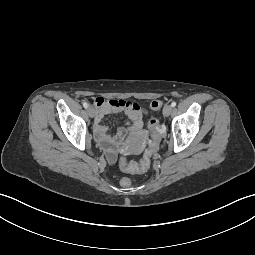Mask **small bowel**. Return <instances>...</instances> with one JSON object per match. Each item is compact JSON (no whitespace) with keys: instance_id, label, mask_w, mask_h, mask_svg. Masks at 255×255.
Wrapping results in <instances>:
<instances>
[{"instance_id":"c3829d8e","label":"small bowel","mask_w":255,"mask_h":255,"mask_svg":"<svg viewBox=\"0 0 255 255\" xmlns=\"http://www.w3.org/2000/svg\"><path fill=\"white\" fill-rule=\"evenodd\" d=\"M96 108L93 131L102 148L106 151L110 162L116 160V150L124 142L128 133L134 137V143H139L143 136V108L136 102L120 99H94ZM124 113L127 116V127H120L114 136L108 134V128L102 123L106 114Z\"/></svg>"}]
</instances>
